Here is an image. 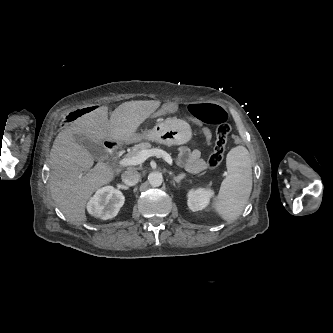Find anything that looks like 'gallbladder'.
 I'll use <instances>...</instances> for the list:
<instances>
[{"mask_svg":"<svg viewBox=\"0 0 333 333\" xmlns=\"http://www.w3.org/2000/svg\"><path fill=\"white\" fill-rule=\"evenodd\" d=\"M75 141L87 149L95 160H105L108 157V152L99 143L94 142L90 137L85 135L76 134L74 135Z\"/></svg>","mask_w":333,"mask_h":333,"instance_id":"1","label":"gallbladder"}]
</instances>
